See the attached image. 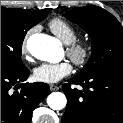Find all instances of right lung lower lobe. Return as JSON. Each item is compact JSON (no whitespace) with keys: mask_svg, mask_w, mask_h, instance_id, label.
<instances>
[{"mask_svg":"<svg viewBox=\"0 0 123 123\" xmlns=\"http://www.w3.org/2000/svg\"><path fill=\"white\" fill-rule=\"evenodd\" d=\"M29 73L26 67L1 71V123H30L33 110L51 93L45 83L20 84Z\"/></svg>","mask_w":123,"mask_h":123,"instance_id":"1","label":"right lung lower lobe"}]
</instances>
